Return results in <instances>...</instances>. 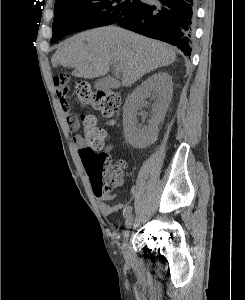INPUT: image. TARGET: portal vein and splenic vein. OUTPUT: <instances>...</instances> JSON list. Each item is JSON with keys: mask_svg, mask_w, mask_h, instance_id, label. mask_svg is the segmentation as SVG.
<instances>
[{"mask_svg": "<svg viewBox=\"0 0 245 300\" xmlns=\"http://www.w3.org/2000/svg\"><path fill=\"white\" fill-rule=\"evenodd\" d=\"M116 73H120V70L116 67Z\"/></svg>", "mask_w": 245, "mask_h": 300, "instance_id": "18ae733b", "label": "portal vein and splenic vein"}]
</instances>
